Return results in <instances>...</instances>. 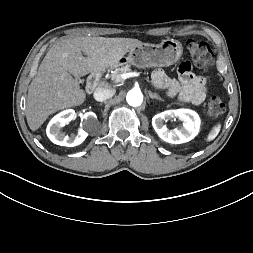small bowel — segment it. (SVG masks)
I'll use <instances>...</instances> for the list:
<instances>
[{
	"instance_id": "small-bowel-1",
	"label": "small bowel",
	"mask_w": 253,
	"mask_h": 253,
	"mask_svg": "<svg viewBox=\"0 0 253 253\" xmlns=\"http://www.w3.org/2000/svg\"><path fill=\"white\" fill-rule=\"evenodd\" d=\"M178 79L170 78L163 70L157 69L152 74V82L158 87L164 89L170 96L200 105L207 96V78L211 72L208 69L203 70L202 75H194L196 67L189 60H182L179 63Z\"/></svg>"
}]
</instances>
